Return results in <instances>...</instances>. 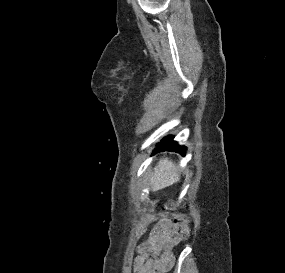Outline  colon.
<instances>
[{"label": "colon", "instance_id": "5ec220e1", "mask_svg": "<svg viewBox=\"0 0 285 273\" xmlns=\"http://www.w3.org/2000/svg\"><path fill=\"white\" fill-rule=\"evenodd\" d=\"M165 210L174 212L173 223L182 238H187L190 233L189 218L186 214L175 210L173 202L168 201L164 204Z\"/></svg>", "mask_w": 285, "mask_h": 273}]
</instances>
